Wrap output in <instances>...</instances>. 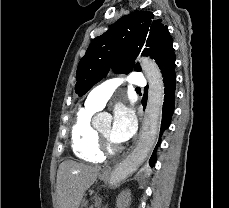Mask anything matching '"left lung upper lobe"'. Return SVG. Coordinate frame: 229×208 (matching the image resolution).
Wrapping results in <instances>:
<instances>
[{"label":"left lung upper lobe","mask_w":229,"mask_h":208,"mask_svg":"<svg viewBox=\"0 0 229 208\" xmlns=\"http://www.w3.org/2000/svg\"><path fill=\"white\" fill-rule=\"evenodd\" d=\"M139 54L155 59L162 75L175 60L168 27L156 20L152 12L125 15L91 42L77 67L75 92L83 96L110 68L125 74L140 71V65L131 62Z\"/></svg>","instance_id":"left-lung-upper-lobe-1"}]
</instances>
